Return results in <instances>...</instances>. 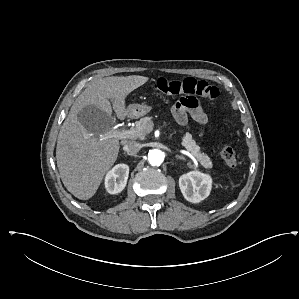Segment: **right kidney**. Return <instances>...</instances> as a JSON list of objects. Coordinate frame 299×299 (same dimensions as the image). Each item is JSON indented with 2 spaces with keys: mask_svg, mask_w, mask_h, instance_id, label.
Masks as SVG:
<instances>
[{
  "mask_svg": "<svg viewBox=\"0 0 299 299\" xmlns=\"http://www.w3.org/2000/svg\"><path fill=\"white\" fill-rule=\"evenodd\" d=\"M129 175V167L126 164L115 165L105 177V188L110 194L121 192L126 184Z\"/></svg>",
  "mask_w": 299,
  "mask_h": 299,
  "instance_id": "right-kidney-1",
  "label": "right kidney"
}]
</instances>
